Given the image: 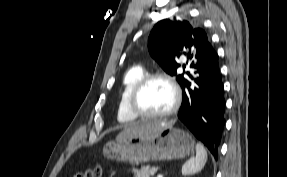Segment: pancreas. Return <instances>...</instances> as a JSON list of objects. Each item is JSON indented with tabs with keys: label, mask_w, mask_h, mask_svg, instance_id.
I'll return each mask as SVG.
<instances>
[{
	"label": "pancreas",
	"mask_w": 287,
	"mask_h": 177,
	"mask_svg": "<svg viewBox=\"0 0 287 177\" xmlns=\"http://www.w3.org/2000/svg\"><path fill=\"white\" fill-rule=\"evenodd\" d=\"M157 167H150V166H144L140 170L133 169L132 173L134 177H150L154 175L157 172Z\"/></svg>",
	"instance_id": "1"
}]
</instances>
